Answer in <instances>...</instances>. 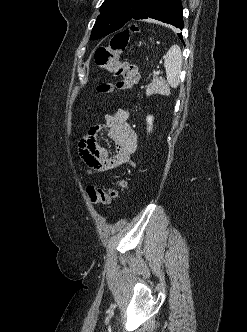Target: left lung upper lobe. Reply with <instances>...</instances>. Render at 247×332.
I'll use <instances>...</instances> for the list:
<instances>
[{
    "instance_id": "5c2ea615",
    "label": "left lung upper lobe",
    "mask_w": 247,
    "mask_h": 332,
    "mask_svg": "<svg viewBox=\"0 0 247 332\" xmlns=\"http://www.w3.org/2000/svg\"><path fill=\"white\" fill-rule=\"evenodd\" d=\"M147 0H105L94 24L90 40L99 39L124 28Z\"/></svg>"
}]
</instances>
